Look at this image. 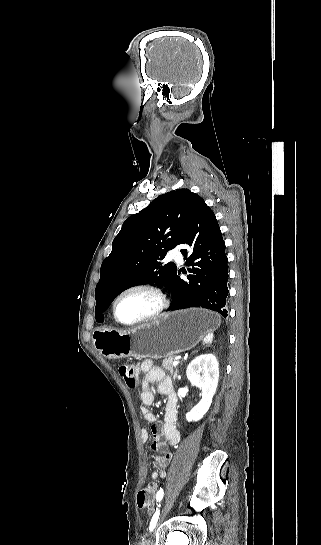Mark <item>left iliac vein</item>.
I'll list each match as a JSON object with an SVG mask.
<instances>
[{"mask_svg": "<svg viewBox=\"0 0 321 545\" xmlns=\"http://www.w3.org/2000/svg\"><path fill=\"white\" fill-rule=\"evenodd\" d=\"M174 501L175 499L174 498H171L166 504L165 506L162 508L161 510V513H160V516L158 518V523L156 524V527H154V531H153V537L156 533V529L157 527L160 525V523L164 520V518L166 517V515L169 513V511L171 510L173 504H174ZM147 545H153V538H151L148 542H147Z\"/></svg>", "mask_w": 321, "mask_h": 545, "instance_id": "1", "label": "left iliac vein"}]
</instances>
